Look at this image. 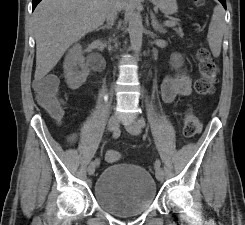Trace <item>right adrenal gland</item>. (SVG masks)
I'll use <instances>...</instances> for the list:
<instances>
[{"label":"right adrenal gland","mask_w":245,"mask_h":225,"mask_svg":"<svg viewBox=\"0 0 245 225\" xmlns=\"http://www.w3.org/2000/svg\"><path fill=\"white\" fill-rule=\"evenodd\" d=\"M113 26L112 22H108L106 25L101 26L100 28L97 29V31L99 30H105V29H111Z\"/></svg>","instance_id":"2a0ac1e0"}]
</instances>
